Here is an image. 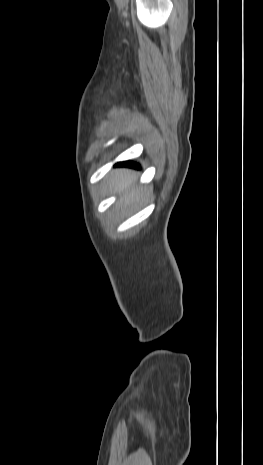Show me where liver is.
Masks as SVG:
<instances>
[{"label":"liver","instance_id":"liver-1","mask_svg":"<svg viewBox=\"0 0 263 465\" xmlns=\"http://www.w3.org/2000/svg\"><path fill=\"white\" fill-rule=\"evenodd\" d=\"M137 176L126 169H115L109 177V184L114 192L121 193V201L126 205L138 199L142 189L135 187Z\"/></svg>","mask_w":263,"mask_h":465}]
</instances>
